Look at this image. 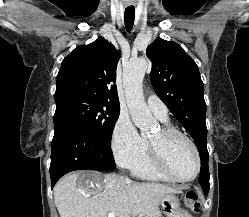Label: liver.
<instances>
[{
  "mask_svg": "<svg viewBox=\"0 0 249 217\" xmlns=\"http://www.w3.org/2000/svg\"><path fill=\"white\" fill-rule=\"evenodd\" d=\"M87 178V186L77 179ZM180 190L156 183H138L115 174L76 172L63 177L54 187V201L60 217H159L163 196Z\"/></svg>",
  "mask_w": 249,
  "mask_h": 217,
  "instance_id": "liver-1",
  "label": "liver"
}]
</instances>
